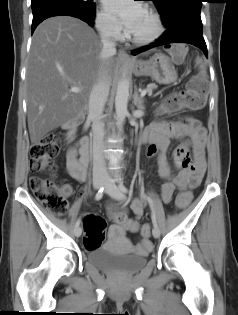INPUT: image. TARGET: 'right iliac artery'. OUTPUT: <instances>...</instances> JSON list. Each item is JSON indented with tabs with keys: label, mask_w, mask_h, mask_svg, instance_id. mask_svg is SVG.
I'll list each match as a JSON object with an SVG mask.
<instances>
[{
	"label": "right iliac artery",
	"mask_w": 238,
	"mask_h": 315,
	"mask_svg": "<svg viewBox=\"0 0 238 315\" xmlns=\"http://www.w3.org/2000/svg\"><path fill=\"white\" fill-rule=\"evenodd\" d=\"M103 194H104V188H100V189L98 190V192L96 193L95 199H96V200H100V199L102 198ZM79 225H80V219H78V220L76 221L75 226L77 227V226H79Z\"/></svg>",
	"instance_id": "82829eb1"
}]
</instances>
